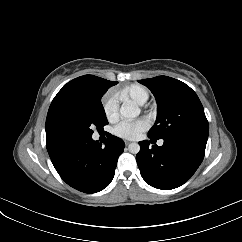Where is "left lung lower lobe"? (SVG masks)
<instances>
[{"mask_svg":"<svg viewBox=\"0 0 242 242\" xmlns=\"http://www.w3.org/2000/svg\"><path fill=\"white\" fill-rule=\"evenodd\" d=\"M163 140L161 147H149L147 140L139 142L141 148L136 160L146 183L170 190L184 184L195 173L203 161L207 138L183 136Z\"/></svg>","mask_w":242,"mask_h":242,"instance_id":"obj_1","label":"left lung lower lobe"}]
</instances>
